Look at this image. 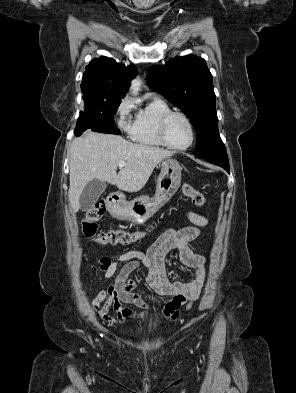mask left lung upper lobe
Instances as JSON below:
<instances>
[{
  "mask_svg": "<svg viewBox=\"0 0 296 393\" xmlns=\"http://www.w3.org/2000/svg\"><path fill=\"white\" fill-rule=\"evenodd\" d=\"M147 84L190 118L197 133L196 157H227L218 132L213 77L203 58L188 55L152 66Z\"/></svg>",
  "mask_w": 296,
  "mask_h": 393,
  "instance_id": "5c2ea615",
  "label": "left lung upper lobe"
}]
</instances>
